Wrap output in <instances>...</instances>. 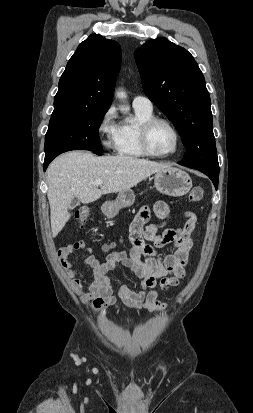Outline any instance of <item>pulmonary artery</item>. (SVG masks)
I'll return each mask as SVG.
<instances>
[{"instance_id":"e3ab8cb5","label":"pulmonary artery","mask_w":253,"mask_h":413,"mask_svg":"<svg viewBox=\"0 0 253 413\" xmlns=\"http://www.w3.org/2000/svg\"><path fill=\"white\" fill-rule=\"evenodd\" d=\"M133 107L151 111L153 109V104L151 100L145 96H136L133 99Z\"/></svg>"}]
</instances>
